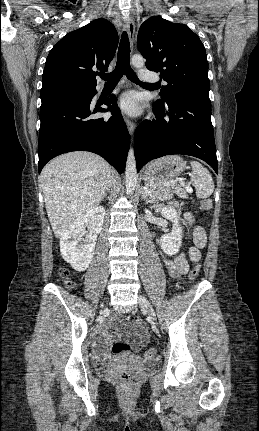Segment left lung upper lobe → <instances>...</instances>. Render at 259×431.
I'll list each match as a JSON object with an SVG mask.
<instances>
[{
  "instance_id": "obj_1",
  "label": "left lung upper lobe",
  "mask_w": 259,
  "mask_h": 431,
  "mask_svg": "<svg viewBox=\"0 0 259 431\" xmlns=\"http://www.w3.org/2000/svg\"><path fill=\"white\" fill-rule=\"evenodd\" d=\"M137 45L146 67L160 72L168 83L162 86L159 100L176 95L209 99L205 47L187 25L151 17L141 25Z\"/></svg>"
}]
</instances>
